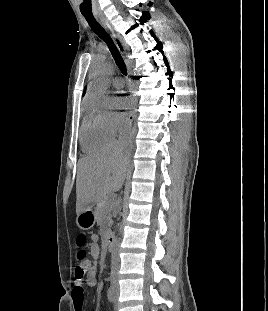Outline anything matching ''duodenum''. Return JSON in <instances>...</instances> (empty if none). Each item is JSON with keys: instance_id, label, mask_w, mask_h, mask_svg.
Returning a JSON list of instances; mask_svg holds the SVG:
<instances>
[{"instance_id": "duodenum-1", "label": "duodenum", "mask_w": 268, "mask_h": 311, "mask_svg": "<svg viewBox=\"0 0 268 311\" xmlns=\"http://www.w3.org/2000/svg\"><path fill=\"white\" fill-rule=\"evenodd\" d=\"M115 243V238L113 235L109 234L105 238V245L108 249H112Z\"/></svg>"}]
</instances>
